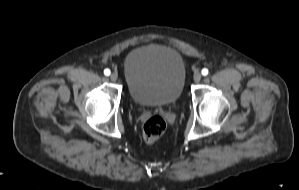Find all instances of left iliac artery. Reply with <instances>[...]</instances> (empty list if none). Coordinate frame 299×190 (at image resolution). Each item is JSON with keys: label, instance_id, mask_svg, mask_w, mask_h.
I'll return each mask as SVG.
<instances>
[{"label": "left iliac artery", "instance_id": "obj_1", "mask_svg": "<svg viewBox=\"0 0 299 190\" xmlns=\"http://www.w3.org/2000/svg\"><path fill=\"white\" fill-rule=\"evenodd\" d=\"M202 75L206 76L208 74V69L204 68L201 71Z\"/></svg>", "mask_w": 299, "mask_h": 190}]
</instances>
